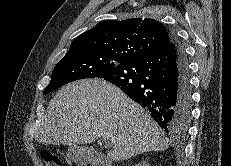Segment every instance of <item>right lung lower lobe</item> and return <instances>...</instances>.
<instances>
[{"instance_id": "98d812e1", "label": "right lung lower lobe", "mask_w": 231, "mask_h": 166, "mask_svg": "<svg viewBox=\"0 0 231 166\" xmlns=\"http://www.w3.org/2000/svg\"><path fill=\"white\" fill-rule=\"evenodd\" d=\"M98 77L115 84L148 110L166 133H186L192 90L187 57L175 35L161 50L117 65Z\"/></svg>"}]
</instances>
